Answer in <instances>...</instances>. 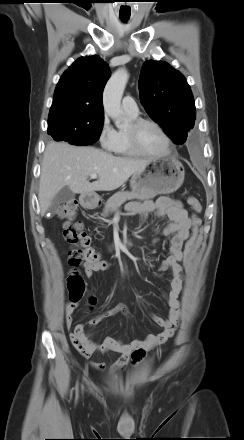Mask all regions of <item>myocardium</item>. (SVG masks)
I'll use <instances>...</instances> for the list:
<instances>
[{
    "label": "myocardium",
    "mask_w": 244,
    "mask_h": 440,
    "mask_svg": "<svg viewBox=\"0 0 244 440\" xmlns=\"http://www.w3.org/2000/svg\"><path fill=\"white\" fill-rule=\"evenodd\" d=\"M144 125H153L156 127L166 140V149L162 153L153 154L145 151L139 141L138 131ZM127 139L132 149L139 155L159 157L169 154L173 149V142L166 129L157 121L149 118L134 119L126 130Z\"/></svg>",
    "instance_id": "myocardium-1"
}]
</instances>
